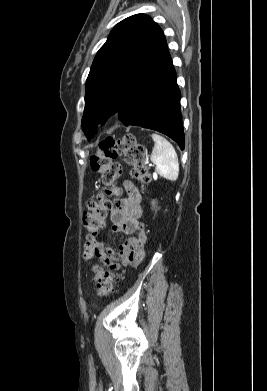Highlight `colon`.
I'll return each instance as SVG.
<instances>
[{"label":"colon","mask_w":267,"mask_h":391,"mask_svg":"<svg viewBox=\"0 0 267 391\" xmlns=\"http://www.w3.org/2000/svg\"><path fill=\"white\" fill-rule=\"evenodd\" d=\"M123 155L131 169L132 177L141 183L150 180L146 163L144 147L137 142L136 138L127 134L121 139L107 137L99 143L98 150L90 157L91 169L100 174L103 191L96 199L89 202L87 210L83 214V224L87 231L88 242L94 240L105 225L107 211L112 204L108 197L120 194L117 181L122 173L121 164L115 159ZM120 281V275L106 271L96 282V294L98 296L109 295L115 285Z\"/></svg>","instance_id":"colon-1"}]
</instances>
